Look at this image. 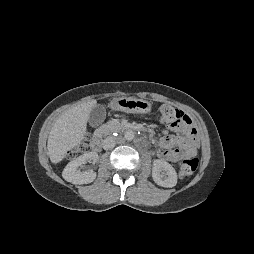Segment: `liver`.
Masks as SVG:
<instances>
[{
	"label": "liver",
	"instance_id": "1",
	"mask_svg": "<svg viewBox=\"0 0 254 254\" xmlns=\"http://www.w3.org/2000/svg\"><path fill=\"white\" fill-rule=\"evenodd\" d=\"M96 100L82 103L61 115L53 125L47 142L52 163L61 162L67 152L75 148L86 134L87 120Z\"/></svg>",
	"mask_w": 254,
	"mask_h": 254
}]
</instances>
